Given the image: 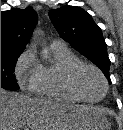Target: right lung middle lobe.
<instances>
[{"instance_id": "dd1d6c3e", "label": "right lung middle lobe", "mask_w": 123, "mask_h": 130, "mask_svg": "<svg viewBox=\"0 0 123 130\" xmlns=\"http://www.w3.org/2000/svg\"><path fill=\"white\" fill-rule=\"evenodd\" d=\"M21 53L1 54V88L7 90H18L16 82L15 65Z\"/></svg>"}]
</instances>
